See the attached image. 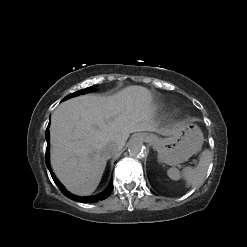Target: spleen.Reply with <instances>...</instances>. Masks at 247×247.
<instances>
[{"mask_svg": "<svg viewBox=\"0 0 247 247\" xmlns=\"http://www.w3.org/2000/svg\"><path fill=\"white\" fill-rule=\"evenodd\" d=\"M211 161V152L209 150H204L201 153L199 163L195 168L185 167L182 171V174L177 168H170L167 171V175L172 180H179L181 177H183L186 180L188 187H197L204 181Z\"/></svg>", "mask_w": 247, "mask_h": 247, "instance_id": "spleen-1", "label": "spleen"}]
</instances>
